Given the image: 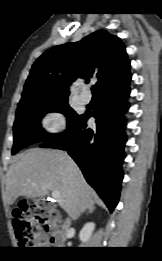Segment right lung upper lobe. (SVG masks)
I'll use <instances>...</instances> for the list:
<instances>
[{
    "label": "right lung upper lobe",
    "mask_w": 162,
    "mask_h": 261,
    "mask_svg": "<svg viewBox=\"0 0 162 261\" xmlns=\"http://www.w3.org/2000/svg\"><path fill=\"white\" fill-rule=\"evenodd\" d=\"M79 75L86 82L97 77L100 94L130 83V61L120 38L98 30L79 42L50 48L33 64L21 101L41 95L68 96Z\"/></svg>",
    "instance_id": "cb5924a9"
}]
</instances>
